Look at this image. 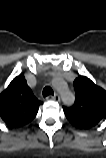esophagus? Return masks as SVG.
<instances>
[{
	"instance_id": "1",
	"label": "esophagus",
	"mask_w": 106,
	"mask_h": 158,
	"mask_svg": "<svg viewBox=\"0 0 106 158\" xmlns=\"http://www.w3.org/2000/svg\"><path fill=\"white\" fill-rule=\"evenodd\" d=\"M47 99H52V100H55V101H59L60 96H59V94L56 93L54 95L47 96Z\"/></svg>"
}]
</instances>
